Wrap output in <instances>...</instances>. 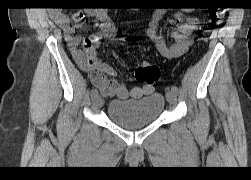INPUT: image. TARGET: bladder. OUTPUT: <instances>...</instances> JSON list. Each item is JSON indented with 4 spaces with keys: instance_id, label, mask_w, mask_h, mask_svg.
<instances>
[{
    "instance_id": "obj_1",
    "label": "bladder",
    "mask_w": 251,
    "mask_h": 180,
    "mask_svg": "<svg viewBox=\"0 0 251 180\" xmlns=\"http://www.w3.org/2000/svg\"><path fill=\"white\" fill-rule=\"evenodd\" d=\"M164 108V96L155 92L139 100H112L107 107V116L120 127L134 129L158 120Z\"/></svg>"
}]
</instances>
